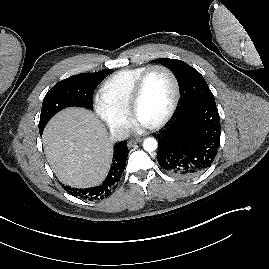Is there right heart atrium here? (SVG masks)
I'll return each mask as SVG.
<instances>
[{"label": "right heart atrium", "instance_id": "obj_1", "mask_svg": "<svg viewBox=\"0 0 269 269\" xmlns=\"http://www.w3.org/2000/svg\"><path fill=\"white\" fill-rule=\"evenodd\" d=\"M94 109L100 119L113 131L119 134L125 133L130 127L128 112L119 110L101 96L94 100Z\"/></svg>", "mask_w": 269, "mask_h": 269}]
</instances>
